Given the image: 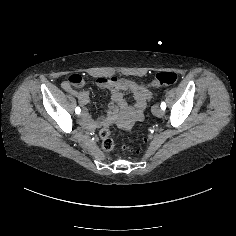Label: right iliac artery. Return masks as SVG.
Instances as JSON below:
<instances>
[{"instance_id":"1","label":"right iliac artery","mask_w":236,"mask_h":236,"mask_svg":"<svg viewBox=\"0 0 236 236\" xmlns=\"http://www.w3.org/2000/svg\"><path fill=\"white\" fill-rule=\"evenodd\" d=\"M75 112H76V114H80V112H81L80 107H76Z\"/></svg>"}]
</instances>
